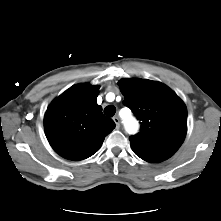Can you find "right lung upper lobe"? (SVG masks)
<instances>
[{
	"instance_id": "right-lung-upper-lobe-1",
	"label": "right lung upper lobe",
	"mask_w": 221,
	"mask_h": 221,
	"mask_svg": "<svg viewBox=\"0 0 221 221\" xmlns=\"http://www.w3.org/2000/svg\"><path fill=\"white\" fill-rule=\"evenodd\" d=\"M99 86L77 84L57 97L44 117L46 137L52 148L69 160H83L101 147L115 128L97 104Z\"/></svg>"
}]
</instances>
